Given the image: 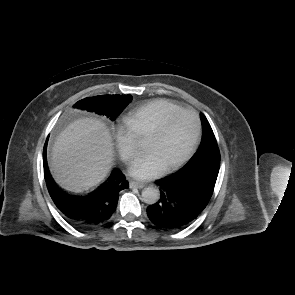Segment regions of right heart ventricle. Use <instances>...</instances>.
<instances>
[{
	"label": "right heart ventricle",
	"mask_w": 295,
	"mask_h": 295,
	"mask_svg": "<svg viewBox=\"0 0 295 295\" xmlns=\"http://www.w3.org/2000/svg\"><path fill=\"white\" fill-rule=\"evenodd\" d=\"M180 109L182 108L172 101L153 100L130 111L123 121L136 139H144L157 128L166 116Z\"/></svg>",
	"instance_id": "right-heart-ventricle-1"
}]
</instances>
